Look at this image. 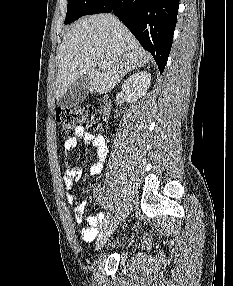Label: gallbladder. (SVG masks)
Here are the masks:
<instances>
[{
  "label": "gallbladder",
  "instance_id": "gallbladder-1",
  "mask_svg": "<svg viewBox=\"0 0 233 286\" xmlns=\"http://www.w3.org/2000/svg\"><path fill=\"white\" fill-rule=\"evenodd\" d=\"M89 89V81L87 76H81L64 93L62 97L57 100V105L62 109H70L82 103Z\"/></svg>",
  "mask_w": 233,
  "mask_h": 286
}]
</instances>
